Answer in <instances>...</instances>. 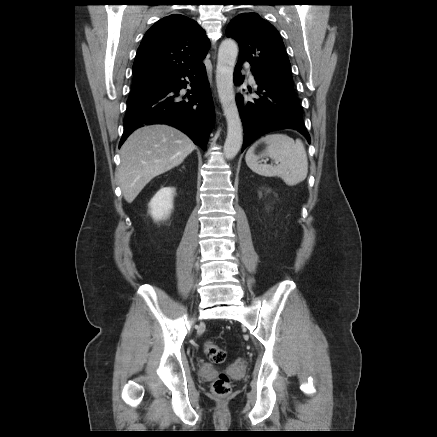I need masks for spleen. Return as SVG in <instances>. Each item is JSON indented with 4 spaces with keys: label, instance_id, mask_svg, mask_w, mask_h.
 I'll return each mask as SVG.
<instances>
[{
    "label": "spleen",
    "instance_id": "obj_1",
    "mask_svg": "<svg viewBox=\"0 0 437 437\" xmlns=\"http://www.w3.org/2000/svg\"><path fill=\"white\" fill-rule=\"evenodd\" d=\"M265 143L266 148L255 155L256 147ZM270 157L277 165L262 164L260 157ZM247 166L265 177H279L286 185L294 186L305 180L308 174V158L301 140L294 141L286 134H268L255 142L245 156Z\"/></svg>",
    "mask_w": 437,
    "mask_h": 437
}]
</instances>
